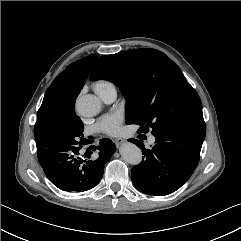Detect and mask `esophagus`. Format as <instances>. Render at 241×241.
Wrapping results in <instances>:
<instances>
[{
  "label": "esophagus",
  "instance_id": "obj_1",
  "mask_svg": "<svg viewBox=\"0 0 241 241\" xmlns=\"http://www.w3.org/2000/svg\"><path fill=\"white\" fill-rule=\"evenodd\" d=\"M125 142H126V140L124 138H117V139H115V144L117 146H120V145H122Z\"/></svg>",
  "mask_w": 241,
  "mask_h": 241
}]
</instances>
